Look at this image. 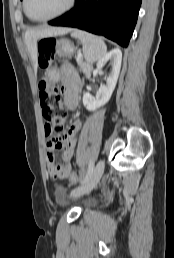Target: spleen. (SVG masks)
Returning a JSON list of instances; mask_svg holds the SVG:
<instances>
[{
	"label": "spleen",
	"instance_id": "1",
	"mask_svg": "<svg viewBox=\"0 0 174 258\" xmlns=\"http://www.w3.org/2000/svg\"><path fill=\"white\" fill-rule=\"evenodd\" d=\"M71 36L82 42L83 54L89 63L100 60L107 52L106 44L101 37L78 29H72Z\"/></svg>",
	"mask_w": 174,
	"mask_h": 258
}]
</instances>
